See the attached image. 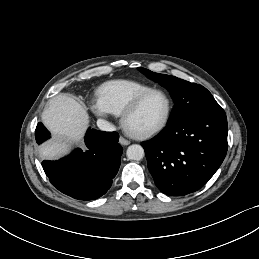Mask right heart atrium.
Instances as JSON below:
<instances>
[{
    "label": "right heart atrium",
    "instance_id": "1",
    "mask_svg": "<svg viewBox=\"0 0 259 259\" xmlns=\"http://www.w3.org/2000/svg\"><path fill=\"white\" fill-rule=\"evenodd\" d=\"M90 107L92 112L99 117H108L109 112L104 107V105L101 103V101L98 99H93L90 103Z\"/></svg>",
    "mask_w": 259,
    "mask_h": 259
}]
</instances>
